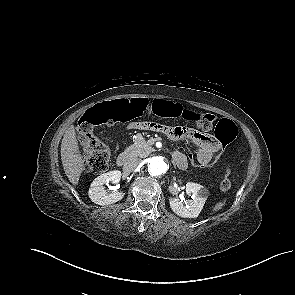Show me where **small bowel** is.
I'll return each instance as SVG.
<instances>
[{"instance_id": "1", "label": "small bowel", "mask_w": 295, "mask_h": 295, "mask_svg": "<svg viewBox=\"0 0 295 295\" xmlns=\"http://www.w3.org/2000/svg\"><path fill=\"white\" fill-rule=\"evenodd\" d=\"M129 128L158 131L165 133L173 140L192 142L197 146L195 157L196 162L200 164L213 160L214 155L220 150L221 146V143L214 136L185 127L171 128L165 126V130H160L156 123L139 122L131 123ZM174 156V161L179 168L184 169L187 167L189 160L184 152L177 150L174 152Z\"/></svg>"}]
</instances>
